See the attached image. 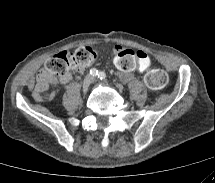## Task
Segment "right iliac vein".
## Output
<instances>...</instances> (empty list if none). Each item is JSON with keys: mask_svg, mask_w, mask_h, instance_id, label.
Here are the masks:
<instances>
[{"mask_svg": "<svg viewBox=\"0 0 215 183\" xmlns=\"http://www.w3.org/2000/svg\"><path fill=\"white\" fill-rule=\"evenodd\" d=\"M91 82H92V78L90 76H87L84 78L82 83V91L84 94L88 92Z\"/></svg>", "mask_w": 215, "mask_h": 183, "instance_id": "63e3f726", "label": "right iliac vein"}]
</instances>
